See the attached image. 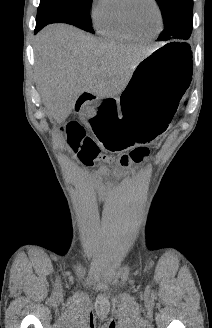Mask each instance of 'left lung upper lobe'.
Instances as JSON below:
<instances>
[{
    "mask_svg": "<svg viewBox=\"0 0 212 328\" xmlns=\"http://www.w3.org/2000/svg\"><path fill=\"white\" fill-rule=\"evenodd\" d=\"M156 1L161 9L165 27L157 40L188 39L193 28V0Z\"/></svg>",
    "mask_w": 212,
    "mask_h": 328,
    "instance_id": "5c2ea615",
    "label": "left lung upper lobe"
}]
</instances>
